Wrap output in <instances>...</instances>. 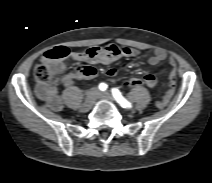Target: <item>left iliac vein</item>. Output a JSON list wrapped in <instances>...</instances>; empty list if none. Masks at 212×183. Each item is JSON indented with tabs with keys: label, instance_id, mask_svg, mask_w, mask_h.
<instances>
[{
	"label": "left iliac vein",
	"instance_id": "obj_1",
	"mask_svg": "<svg viewBox=\"0 0 212 183\" xmlns=\"http://www.w3.org/2000/svg\"><path fill=\"white\" fill-rule=\"evenodd\" d=\"M99 98L107 99V100H112V97L109 93L103 92L99 94Z\"/></svg>",
	"mask_w": 212,
	"mask_h": 183
}]
</instances>
